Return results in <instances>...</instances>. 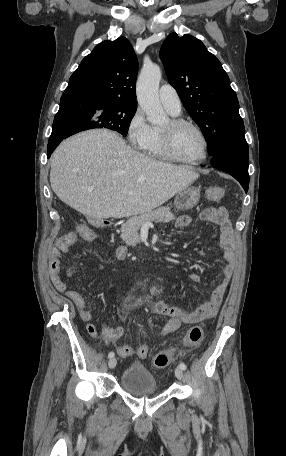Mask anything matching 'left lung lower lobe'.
I'll use <instances>...</instances> for the list:
<instances>
[{"label":"left lung lower lobe","mask_w":286,"mask_h":456,"mask_svg":"<svg viewBox=\"0 0 286 456\" xmlns=\"http://www.w3.org/2000/svg\"><path fill=\"white\" fill-rule=\"evenodd\" d=\"M248 162V149H229L220 151L213 157L211 164L232 175L247 192L249 186Z\"/></svg>","instance_id":"obj_1"}]
</instances>
